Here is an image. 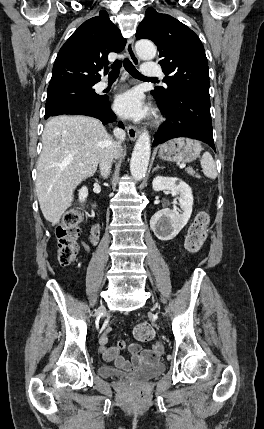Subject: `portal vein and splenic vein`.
Wrapping results in <instances>:
<instances>
[{"mask_svg": "<svg viewBox=\"0 0 264 429\" xmlns=\"http://www.w3.org/2000/svg\"><path fill=\"white\" fill-rule=\"evenodd\" d=\"M81 166H82V164H80ZM181 169H183V168H185L186 167V164H180V166H179Z\"/></svg>", "mask_w": 264, "mask_h": 429, "instance_id": "1", "label": "portal vein and splenic vein"}]
</instances>
